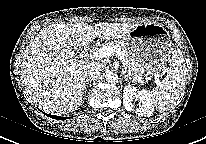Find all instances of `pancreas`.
Here are the masks:
<instances>
[{
    "label": "pancreas",
    "mask_w": 206,
    "mask_h": 144,
    "mask_svg": "<svg viewBox=\"0 0 206 144\" xmlns=\"http://www.w3.org/2000/svg\"><path fill=\"white\" fill-rule=\"evenodd\" d=\"M107 45L111 47H118L122 50L124 61L123 66L131 79L140 77L142 79L143 70L140 68L137 60L130 54L126 43L123 40H115L109 42Z\"/></svg>",
    "instance_id": "obj_1"
}]
</instances>
